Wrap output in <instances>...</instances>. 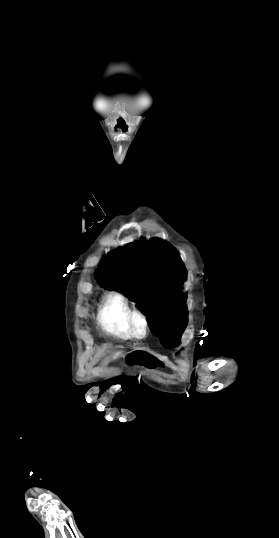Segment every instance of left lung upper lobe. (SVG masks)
I'll return each instance as SVG.
<instances>
[{
	"mask_svg": "<svg viewBox=\"0 0 279 538\" xmlns=\"http://www.w3.org/2000/svg\"><path fill=\"white\" fill-rule=\"evenodd\" d=\"M185 268L179 252L164 242L137 241L104 256L95 278L102 287L119 290L148 315L157 337L182 335L187 325L181 288Z\"/></svg>",
	"mask_w": 279,
	"mask_h": 538,
	"instance_id": "obj_1",
	"label": "left lung upper lobe"
}]
</instances>
